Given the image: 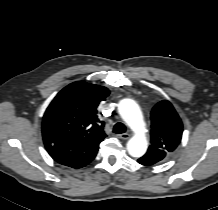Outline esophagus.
<instances>
[{"mask_svg":"<svg viewBox=\"0 0 218 210\" xmlns=\"http://www.w3.org/2000/svg\"><path fill=\"white\" fill-rule=\"evenodd\" d=\"M117 137L123 140H127L130 138V135L128 133H123V134H118Z\"/></svg>","mask_w":218,"mask_h":210,"instance_id":"1","label":"esophagus"}]
</instances>
